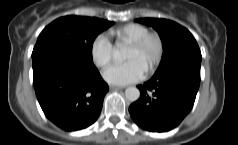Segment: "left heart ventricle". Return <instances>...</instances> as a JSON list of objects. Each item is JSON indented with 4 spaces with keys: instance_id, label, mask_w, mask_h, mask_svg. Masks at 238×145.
<instances>
[{
    "instance_id": "1",
    "label": "left heart ventricle",
    "mask_w": 238,
    "mask_h": 145,
    "mask_svg": "<svg viewBox=\"0 0 238 145\" xmlns=\"http://www.w3.org/2000/svg\"><path fill=\"white\" fill-rule=\"evenodd\" d=\"M154 53H155V45L153 43L147 44L141 51H136L131 47H129L126 54V59L136 60L140 63L143 69H146Z\"/></svg>"
}]
</instances>
